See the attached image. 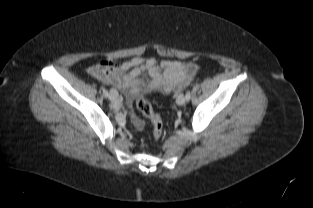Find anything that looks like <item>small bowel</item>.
Here are the masks:
<instances>
[{"mask_svg": "<svg viewBox=\"0 0 313 208\" xmlns=\"http://www.w3.org/2000/svg\"><path fill=\"white\" fill-rule=\"evenodd\" d=\"M198 70V65L193 62L178 60L158 62L154 57H134L120 64L110 59L101 60L89 68L88 73L100 82L120 89L130 98L143 85L138 79L143 71L149 72L152 86H160L170 91L188 85ZM134 122L138 127L143 126V122L136 117Z\"/></svg>", "mask_w": 313, "mask_h": 208, "instance_id": "c3829d8e", "label": "small bowel"}]
</instances>
